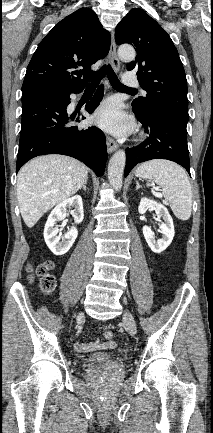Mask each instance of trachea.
I'll return each mask as SVG.
<instances>
[{"label": "trachea", "mask_w": 213, "mask_h": 433, "mask_svg": "<svg viewBox=\"0 0 213 433\" xmlns=\"http://www.w3.org/2000/svg\"><path fill=\"white\" fill-rule=\"evenodd\" d=\"M107 74L108 79L110 81V84L115 89H126V90H134L133 88H129L124 86L118 79L117 75L115 74L114 70L112 69L111 65H103L97 75V78L88 85L89 89H96L98 84L100 83L101 79Z\"/></svg>", "instance_id": "trachea-1"}]
</instances>
